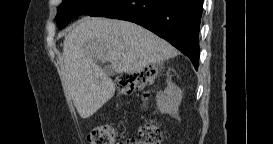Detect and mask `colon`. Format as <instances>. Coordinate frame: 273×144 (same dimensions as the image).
I'll return each mask as SVG.
<instances>
[{
  "label": "colon",
  "mask_w": 273,
  "mask_h": 144,
  "mask_svg": "<svg viewBox=\"0 0 273 144\" xmlns=\"http://www.w3.org/2000/svg\"><path fill=\"white\" fill-rule=\"evenodd\" d=\"M157 76L154 67L143 68L133 74L123 75L116 79L117 89L121 94H131L134 90L143 88L152 83ZM140 143L159 144L162 142V133L159 127L148 122L139 129ZM91 144H115L116 132L110 125H99L94 127L89 134Z\"/></svg>",
  "instance_id": "1"
}]
</instances>
